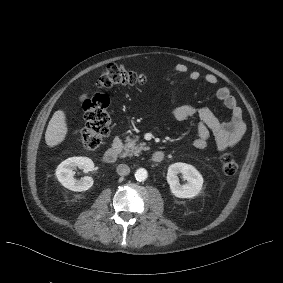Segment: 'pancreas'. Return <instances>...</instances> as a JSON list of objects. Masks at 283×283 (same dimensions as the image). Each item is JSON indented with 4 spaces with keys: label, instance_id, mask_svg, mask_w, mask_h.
<instances>
[{
    "label": "pancreas",
    "instance_id": "1",
    "mask_svg": "<svg viewBox=\"0 0 283 283\" xmlns=\"http://www.w3.org/2000/svg\"><path fill=\"white\" fill-rule=\"evenodd\" d=\"M126 148H125V153L129 156L135 155L138 156L141 153V150L145 149L146 145L142 146H137L136 141L130 137L126 138Z\"/></svg>",
    "mask_w": 283,
    "mask_h": 283
}]
</instances>
